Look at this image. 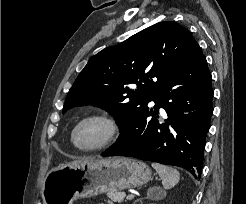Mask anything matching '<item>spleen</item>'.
I'll return each mask as SVG.
<instances>
[{
    "mask_svg": "<svg viewBox=\"0 0 246 204\" xmlns=\"http://www.w3.org/2000/svg\"><path fill=\"white\" fill-rule=\"evenodd\" d=\"M152 167L160 176L164 189H170L179 182L180 173L175 168L160 163H152Z\"/></svg>",
    "mask_w": 246,
    "mask_h": 204,
    "instance_id": "3e777b00",
    "label": "spleen"
}]
</instances>
